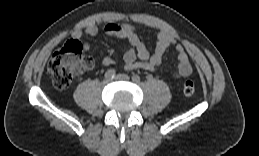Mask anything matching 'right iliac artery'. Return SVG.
<instances>
[{
  "mask_svg": "<svg viewBox=\"0 0 259 156\" xmlns=\"http://www.w3.org/2000/svg\"><path fill=\"white\" fill-rule=\"evenodd\" d=\"M116 75V71L114 69H109L105 73V78L106 79H113Z\"/></svg>",
  "mask_w": 259,
  "mask_h": 156,
  "instance_id": "right-iliac-artery-1",
  "label": "right iliac artery"
}]
</instances>
